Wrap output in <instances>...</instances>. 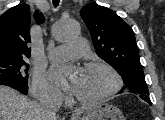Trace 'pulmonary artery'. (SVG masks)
Segmentation results:
<instances>
[{
	"mask_svg": "<svg viewBox=\"0 0 165 120\" xmlns=\"http://www.w3.org/2000/svg\"><path fill=\"white\" fill-rule=\"evenodd\" d=\"M87 45L83 40H73L68 44L60 45L49 52L51 59H61L69 56H79L85 54Z\"/></svg>",
	"mask_w": 165,
	"mask_h": 120,
	"instance_id": "obj_1",
	"label": "pulmonary artery"
}]
</instances>
